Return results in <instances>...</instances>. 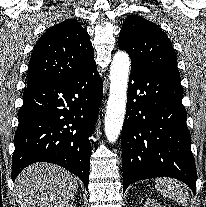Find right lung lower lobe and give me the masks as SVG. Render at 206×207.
Returning <instances> with one entry per match:
<instances>
[{
	"mask_svg": "<svg viewBox=\"0 0 206 207\" xmlns=\"http://www.w3.org/2000/svg\"><path fill=\"white\" fill-rule=\"evenodd\" d=\"M96 65L65 80L28 86L14 137L12 180L28 165H60L89 183L91 144L101 104Z\"/></svg>",
	"mask_w": 206,
	"mask_h": 207,
	"instance_id": "obj_1",
	"label": "right lung lower lobe"
}]
</instances>
